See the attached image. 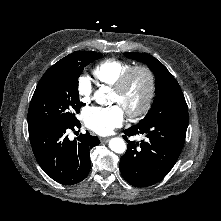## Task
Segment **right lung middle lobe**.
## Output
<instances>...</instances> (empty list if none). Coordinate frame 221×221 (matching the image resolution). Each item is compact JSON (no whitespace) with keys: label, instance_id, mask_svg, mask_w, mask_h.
<instances>
[{"label":"right lung middle lobe","instance_id":"obj_1","mask_svg":"<svg viewBox=\"0 0 221 221\" xmlns=\"http://www.w3.org/2000/svg\"><path fill=\"white\" fill-rule=\"evenodd\" d=\"M102 54L76 51L51 66L40 79L28 110V128L76 123L80 112L78 78Z\"/></svg>","mask_w":221,"mask_h":221}]
</instances>
